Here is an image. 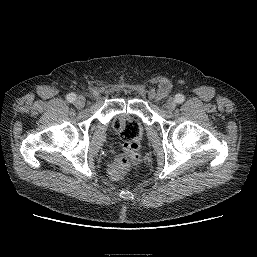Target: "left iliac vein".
Listing matches in <instances>:
<instances>
[{"mask_svg": "<svg viewBox=\"0 0 257 257\" xmlns=\"http://www.w3.org/2000/svg\"><path fill=\"white\" fill-rule=\"evenodd\" d=\"M176 107V101L173 98H169L166 101V108L170 111L174 110Z\"/></svg>", "mask_w": 257, "mask_h": 257, "instance_id": "left-iliac-vein-1", "label": "left iliac vein"}]
</instances>
